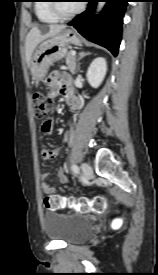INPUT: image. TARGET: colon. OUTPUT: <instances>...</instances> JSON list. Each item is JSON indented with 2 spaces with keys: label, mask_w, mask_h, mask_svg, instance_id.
<instances>
[{
  "label": "colon",
  "mask_w": 158,
  "mask_h": 275,
  "mask_svg": "<svg viewBox=\"0 0 158 275\" xmlns=\"http://www.w3.org/2000/svg\"><path fill=\"white\" fill-rule=\"evenodd\" d=\"M34 113L37 118H43L52 107V99L42 92H35L32 96ZM44 205L49 210L73 208L81 213H103L107 207V200L98 196L95 198H73L60 195H48L44 198Z\"/></svg>",
  "instance_id": "5ec220e1"
}]
</instances>
